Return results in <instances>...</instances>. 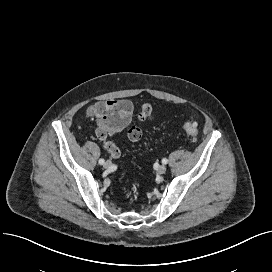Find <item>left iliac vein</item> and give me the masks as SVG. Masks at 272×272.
Listing matches in <instances>:
<instances>
[{"mask_svg": "<svg viewBox=\"0 0 272 272\" xmlns=\"http://www.w3.org/2000/svg\"><path fill=\"white\" fill-rule=\"evenodd\" d=\"M157 172H158L159 174H164V173L166 172V166H165V165H160V166H158Z\"/></svg>", "mask_w": 272, "mask_h": 272, "instance_id": "4c4485c4", "label": "left iliac vein"}]
</instances>
